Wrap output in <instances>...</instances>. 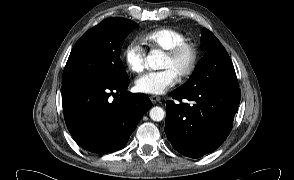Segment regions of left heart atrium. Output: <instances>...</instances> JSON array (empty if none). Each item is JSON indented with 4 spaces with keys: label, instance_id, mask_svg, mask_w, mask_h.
I'll use <instances>...</instances> for the list:
<instances>
[{
    "label": "left heart atrium",
    "instance_id": "39dd6f15",
    "mask_svg": "<svg viewBox=\"0 0 294 180\" xmlns=\"http://www.w3.org/2000/svg\"><path fill=\"white\" fill-rule=\"evenodd\" d=\"M177 80L178 75L170 68H164L139 76L135 81V88L140 93L158 96L166 93Z\"/></svg>",
    "mask_w": 294,
    "mask_h": 180
}]
</instances>
